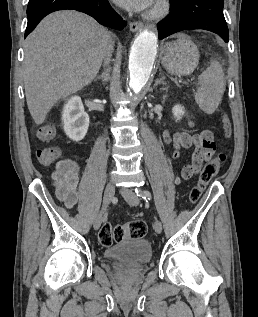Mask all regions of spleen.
Wrapping results in <instances>:
<instances>
[{"label": "spleen", "mask_w": 258, "mask_h": 317, "mask_svg": "<svg viewBox=\"0 0 258 317\" xmlns=\"http://www.w3.org/2000/svg\"><path fill=\"white\" fill-rule=\"evenodd\" d=\"M200 86L197 88L195 100L201 110L212 114L218 108L225 90L224 72L217 60L210 62L206 70L199 76Z\"/></svg>", "instance_id": "1"}]
</instances>
